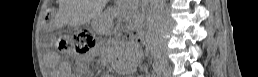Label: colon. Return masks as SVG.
<instances>
[{
	"label": "colon",
	"instance_id": "colon-1",
	"mask_svg": "<svg viewBox=\"0 0 258 77\" xmlns=\"http://www.w3.org/2000/svg\"><path fill=\"white\" fill-rule=\"evenodd\" d=\"M52 11L47 10L44 20V27L46 30H51L52 28ZM95 35L89 30H79L77 31L70 40H64L61 42L63 49H70L76 52H86L92 48L95 44ZM132 48L137 51L139 49L138 45H133Z\"/></svg>",
	"mask_w": 258,
	"mask_h": 77
}]
</instances>
